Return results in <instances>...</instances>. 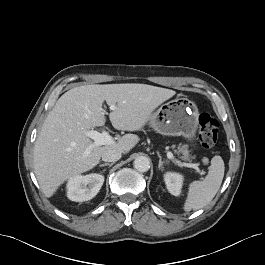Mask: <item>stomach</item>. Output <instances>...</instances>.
<instances>
[{
    "label": "stomach",
    "mask_w": 265,
    "mask_h": 265,
    "mask_svg": "<svg viewBox=\"0 0 265 265\" xmlns=\"http://www.w3.org/2000/svg\"><path fill=\"white\" fill-rule=\"evenodd\" d=\"M198 117V108L193 101L176 98L153 113L149 124L162 135L183 136L193 141L198 128Z\"/></svg>",
    "instance_id": "1"
}]
</instances>
